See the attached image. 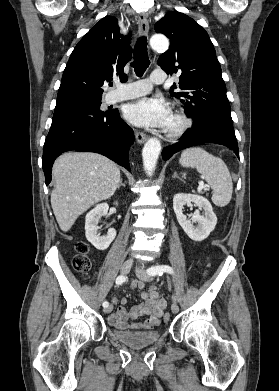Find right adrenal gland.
<instances>
[{"mask_svg": "<svg viewBox=\"0 0 279 391\" xmlns=\"http://www.w3.org/2000/svg\"><path fill=\"white\" fill-rule=\"evenodd\" d=\"M121 186H124L125 187V184L122 182V179L120 180V183H119V185H118V189L121 187Z\"/></svg>", "mask_w": 279, "mask_h": 391, "instance_id": "1", "label": "right adrenal gland"}]
</instances>
